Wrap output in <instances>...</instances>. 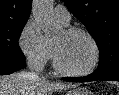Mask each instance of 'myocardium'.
<instances>
[{
  "label": "myocardium",
  "mask_w": 119,
  "mask_h": 95,
  "mask_svg": "<svg viewBox=\"0 0 119 95\" xmlns=\"http://www.w3.org/2000/svg\"><path fill=\"white\" fill-rule=\"evenodd\" d=\"M65 32L69 35L81 34L85 36L91 42L93 46L94 58L91 65L87 69L81 70V71L70 70L61 63L57 49L53 45V63H54L55 69L61 74L71 76V77H84V76H88L92 74L97 69L101 59V50L97 40L90 32L79 27L68 28L65 30Z\"/></svg>",
  "instance_id": "myocardium-1"
}]
</instances>
